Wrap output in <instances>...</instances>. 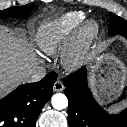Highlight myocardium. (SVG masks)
Returning a JSON list of instances; mask_svg holds the SVG:
<instances>
[{
  "instance_id": "f54148a6",
  "label": "myocardium",
  "mask_w": 127,
  "mask_h": 127,
  "mask_svg": "<svg viewBox=\"0 0 127 127\" xmlns=\"http://www.w3.org/2000/svg\"><path fill=\"white\" fill-rule=\"evenodd\" d=\"M100 30L95 20H88L76 29L63 55V64L67 69L75 70L84 64Z\"/></svg>"
}]
</instances>
